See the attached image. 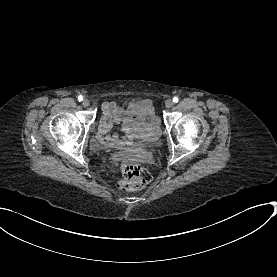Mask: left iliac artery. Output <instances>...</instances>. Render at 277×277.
Returning a JSON list of instances; mask_svg holds the SVG:
<instances>
[{
	"mask_svg": "<svg viewBox=\"0 0 277 277\" xmlns=\"http://www.w3.org/2000/svg\"><path fill=\"white\" fill-rule=\"evenodd\" d=\"M178 100H179L178 97H174V98H173V102H175V103H177Z\"/></svg>",
	"mask_w": 277,
	"mask_h": 277,
	"instance_id": "left-iliac-artery-1",
	"label": "left iliac artery"
}]
</instances>
